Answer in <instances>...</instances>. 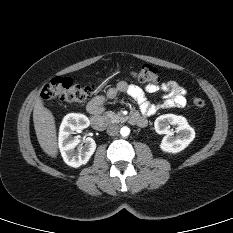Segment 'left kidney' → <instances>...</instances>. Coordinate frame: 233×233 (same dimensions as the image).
<instances>
[{
    "instance_id": "1",
    "label": "left kidney",
    "mask_w": 233,
    "mask_h": 233,
    "mask_svg": "<svg viewBox=\"0 0 233 233\" xmlns=\"http://www.w3.org/2000/svg\"><path fill=\"white\" fill-rule=\"evenodd\" d=\"M170 125L176 126V136L170 130ZM154 127L158 134H165L160 148L167 153H178L184 150L195 138L194 129L183 116L161 115L155 120Z\"/></svg>"
}]
</instances>
